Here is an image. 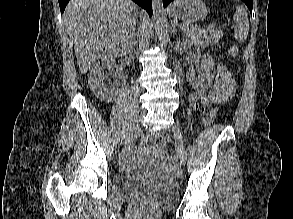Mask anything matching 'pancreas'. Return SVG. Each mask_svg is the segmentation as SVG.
I'll return each instance as SVG.
<instances>
[{"label": "pancreas", "instance_id": "1", "mask_svg": "<svg viewBox=\"0 0 293 219\" xmlns=\"http://www.w3.org/2000/svg\"><path fill=\"white\" fill-rule=\"evenodd\" d=\"M181 28L193 39L194 42L203 46L215 45L223 36L221 30H204L191 23L181 24Z\"/></svg>", "mask_w": 293, "mask_h": 219}]
</instances>
